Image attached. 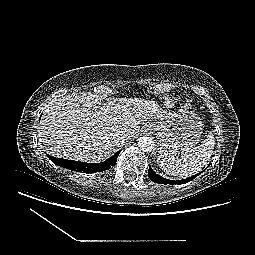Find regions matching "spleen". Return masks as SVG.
Returning <instances> with one entry per match:
<instances>
[{
  "label": "spleen",
  "mask_w": 255,
  "mask_h": 255,
  "mask_svg": "<svg viewBox=\"0 0 255 255\" xmlns=\"http://www.w3.org/2000/svg\"><path fill=\"white\" fill-rule=\"evenodd\" d=\"M214 135L209 132L202 144L181 155H163L157 158L160 168L173 176L188 177L200 171L209 161L214 150Z\"/></svg>",
  "instance_id": "spleen-1"
}]
</instances>
